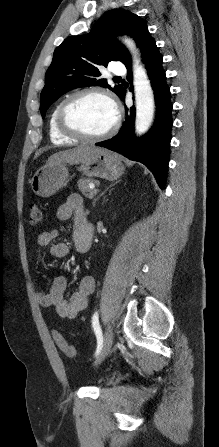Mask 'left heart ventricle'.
Instances as JSON below:
<instances>
[{"label":"left heart ventricle","instance_id":"obj_1","mask_svg":"<svg viewBox=\"0 0 219 447\" xmlns=\"http://www.w3.org/2000/svg\"><path fill=\"white\" fill-rule=\"evenodd\" d=\"M114 119L115 111L112 105L97 95L80 98L68 112L69 122L91 135L105 132L113 124Z\"/></svg>","mask_w":219,"mask_h":447}]
</instances>
